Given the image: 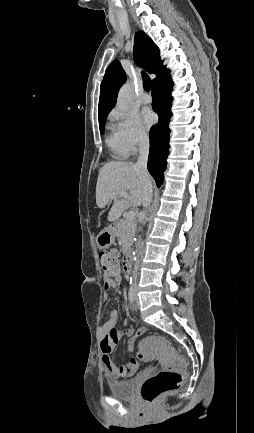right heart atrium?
Instances as JSON below:
<instances>
[{"mask_svg": "<svg viewBox=\"0 0 254 433\" xmlns=\"http://www.w3.org/2000/svg\"><path fill=\"white\" fill-rule=\"evenodd\" d=\"M111 117L114 130L126 155H134L147 144L148 133L136 113L114 110Z\"/></svg>", "mask_w": 254, "mask_h": 433, "instance_id": "right-heart-atrium-1", "label": "right heart atrium"}]
</instances>
